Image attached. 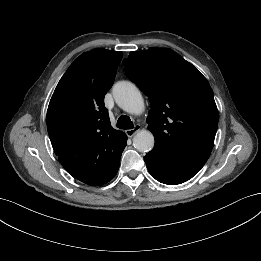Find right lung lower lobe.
I'll list each match as a JSON object with an SVG mask.
<instances>
[{"label":"right lung lower lobe","instance_id":"1","mask_svg":"<svg viewBox=\"0 0 261 261\" xmlns=\"http://www.w3.org/2000/svg\"><path fill=\"white\" fill-rule=\"evenodd\" d=\"M118 168H119V166H118ZM118 168H117L104 182H102V183L99 184V185H102V184H104V183H107L108 181H110L111 179H113L114 176L116 175L117 171H118Z\"/></svg>","mask_w":261,"mask_h":261}]
</instances>
